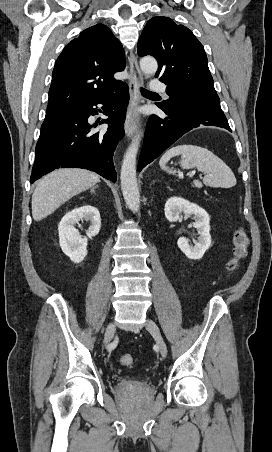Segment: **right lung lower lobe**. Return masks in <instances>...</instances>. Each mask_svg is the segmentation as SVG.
Here are the masks:
<instances>
[{
    "label": "right lung lower lobe",
    "mask_w": 272,
    "mask_h": 452,
    "mask_svg": "<svg viewBox=\"0 0 272 452\" xmlns=\"http://www.w3.org/2000/svg\"><path fill=\"white\" fill-rule=\"evenodd\" d=\"M128 99V86L122 83L113 92L86 101L71 111L46 114L35 149L30 182L60 167L88 169L116 181L112 158L124 136ZM97 104L105 105L104 114L109 118L100 124H111L107 131H96V125L88 123L90 115L98 114L93 107Z\"/></svg>",
    "instance_id": "98d812e1"
}]
</instances>
